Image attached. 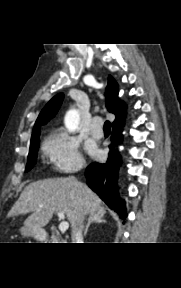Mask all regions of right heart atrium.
I'll return each mask as SVG.
<instances>
[{"mask_svg": "<svg viewBox=\"0 0 181 288\" xmlns=\"http://www.w3.org/2000/svg\"><path fill=\"white\" fill-rule=\"evenodd\" d=\"M44 154L51 167L59 173H71L84 166L78 140L68 132L57 130L44 143Z\"/></svg>", "mask_w": 181, "mask_h": 288, "instance_id": "d8ad5b80", "label": "right heart atrium"}]
</instances>
